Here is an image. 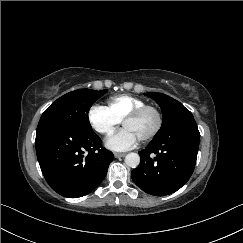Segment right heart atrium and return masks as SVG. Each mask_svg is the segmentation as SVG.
Segmentation results:
<instances>
[{
  "label": "right heart atrium",
  "mask_w": 243,
  "mask_h": 243,
  "mask_svg": "<svg viewBox=\"0 0 243 243\" xmlns=\"http://www.w3.org/2000/svg\"><path fill=\"white\" fill-rule=\"evenodd\" d=\"M87 120L94 131L103 135L109 134L120 123L108 107L100 104L90 106Z\"/></svg>",
  "instance_id": "right-heart-atrium-1"
}]
</instances>
